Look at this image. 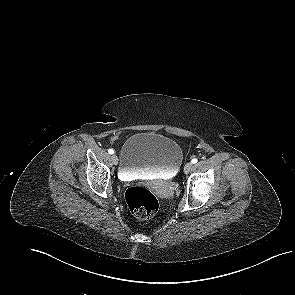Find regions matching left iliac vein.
<instances>
[{
  "label": "left iliac vein",
  "instance_id": "left-iliac-vein-1",
  "mask_svg": "<svg viewBox=\"0 0 295 295\" xmlns=\"http://www.w3.org/2000/svg\"><path fill=\"white\" fill-rule=\"evenodd\" d=\"M192 167H193V163H191V162L187 163V164L184 166V172H185L186 174H188V173L191 171Z\"/></svg>",
  "mask_w": 295,
  "mask_h": 295
}]
</instances>
